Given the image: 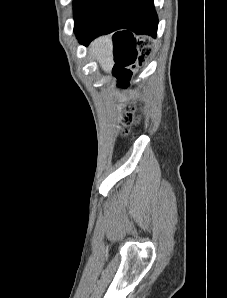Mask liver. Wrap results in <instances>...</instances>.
Instances as JSON below:
<instances>
[{
    "label": "liver",
    "instance_id": "obj_1",
    "mask_svg": "<svg viewBox=\"0 0 227 298\" xmlns=\"http://www.w3.org/2000/svg\"><path fill=\"white\" fill-rule=\"evenodd\" d=\"M92 55L98 60L105 72H110L113 65V44L110 36H102L94 40L90 45Z\"/></svg>",
    "mask_w": 227,
    "mask_h": 298
}]
</instances>
